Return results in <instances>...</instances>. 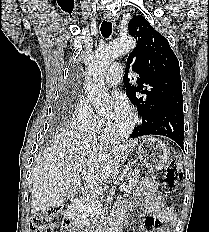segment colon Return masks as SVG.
I'll list each match as a JSON object with an SVG mask.
<instances>
[{"label": "colon", "instance_id": "5ec220e1", "mask_svg": "<svg viewBox=\"0 0 209 232\" xmlns=\"http://www.w3.org/2000/svg\"><path fill=\"white\" fill-rule=\"evenodd\" d=\"M182 181V163L177 157L172 158L165 170L163 185L167 192H175ZM61 208L51 207L36 212L31 221V232H53L59 221Z\"/></svg>", "mask_w": 209, "mask_h": 232}]
</instances>
